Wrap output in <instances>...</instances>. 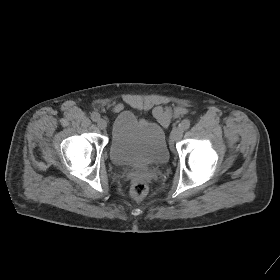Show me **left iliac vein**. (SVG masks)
<instances>
[{"mask_svg":"<svg viewBox=\"0 0 280 280\" xmlns=\"http://www.w3.org/2000/svg\"><path fill=\"white\" fill-rule=\"evenodd\" d=\"M183 136V129L181 127L173 128L171 132V140L173 142L179 141Z\"/></svg>","mask_w":280,"mask_h":280,"instance_id":"left-iliac-vein-1","label":"left iliac vein"}]
</instances>
